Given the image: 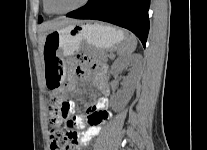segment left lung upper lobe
Segmentation results:
<instances>
[{
	"instance_id": "1",
	"label": "left lung upper lobe",
	"mask_w": 207,
	"mask_h": 150,
	"mask_svg": "<svg viewBox=\"0 0 207 150\" xmlns=\"http://www.w3.org/2000/svg\"><path fill=\"white\" fill-rule=\"evenodd\" d=\"M42 20H43L42 17H39V22H42Z\"/></svg>"
}]
</instances>
